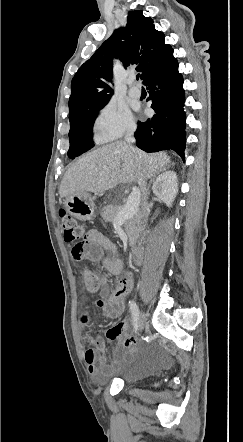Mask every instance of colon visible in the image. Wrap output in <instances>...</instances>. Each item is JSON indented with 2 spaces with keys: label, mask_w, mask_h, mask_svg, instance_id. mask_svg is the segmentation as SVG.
I'll list each match as a JSON object with an SVG mask.
<instances>
[{
  "label": "colon",
  "mask_w": 243,
  "mask_h": 442,
  "mask_svg": "<svg viewBox=\"0 0 243 442\" xmlns=\"http://www.w3.org/2000/svg\"><path fill=\"white\" fill-rule=\"evenodd\" d=\"M60 219L62 223V227L64 230V239L66 242H77V243H69L68 250L69 252H73V258L76 260H80L83 258V253L86 249V241L84 239V229L78 223V221L73 218L71 215L66 212L60 213ZM84 287L89 292H97L101 285L102 281L99 275L92 270H85L83 277Z\"/></svg>",
  "instance_id": "1"
}]
</instances>
